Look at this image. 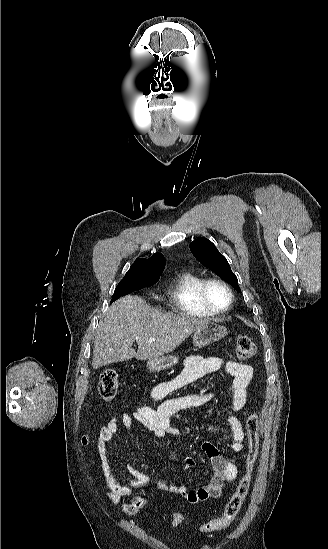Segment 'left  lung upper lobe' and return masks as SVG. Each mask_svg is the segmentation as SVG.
I'll use <instances>...</instances> for the list:
<instances>
[{"mask_svg":"<svg viewBox=\"0 0 328 549\" xmlns=\"http://www.w3.org/2000/svg\"><path fill=\"white\" fill-rule=\"evenodd\" d=\"M194 257L205 267L215 272L238 292L240 287L236 275L232 272L227 259L220 254L215 245L206 238H198L190 245Z\"/></svg>","mask_w":328,"mask_h":549,"instance_id":"left-lung-upper-lobe-1","label":"left lung upper lobe"}]
</instances>
